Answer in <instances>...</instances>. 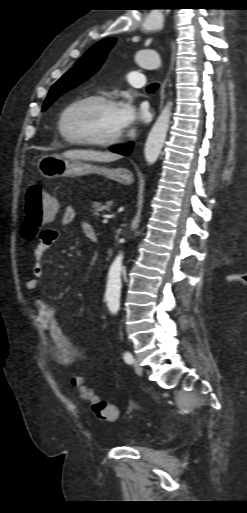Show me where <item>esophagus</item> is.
<instances>
[{
  "label": "esophagus",
  "instance_id": "34e87169",
  "mask_svg": "<svg viewBox=\"0 0 247 513\" xmlns=\"http://www.w3.org/2000/svg\"><path fill=\"white\" fill-rule=\"evenodd\" d=\"M175 60H176V45H175V42L172 41L171 42V62H170V69L164 79V81L162 82L161 86H160V90H159V93H160V109L162 108L163 106V102H164V98H165V87H166V84L169 80V75H170V72L171 70L173 69V66H174V63H175Z\"/></svg>",
  "mask_w": 247,
  "mask_h": 513
}]
</instances>
